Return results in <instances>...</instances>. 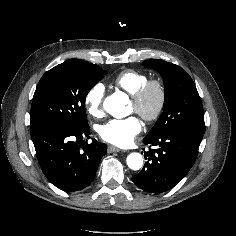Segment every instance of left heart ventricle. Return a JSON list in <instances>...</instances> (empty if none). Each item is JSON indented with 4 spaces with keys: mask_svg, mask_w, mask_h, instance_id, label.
Returning a JSON list of instances; mask_svg holds the SVG:
<instances>
[{
    "mask_svg": "<svg viewBox=\"0 0 236 236\" xmlns=\"http://www.w3.org/2000/svg\"><path fill=\"white\" fill-rule=\"evenodd\" d=\"M156 101H157L156 94L155 93L151 94L148 101H147V108L150 110L153 109L156 104ZM132 109L135 111V106L133 103H132Z\"/></svg>",
    "mask_w": 236,
    "mask_h": 236,
    "instance_id": "1",
    "label": "left heart ventricle"
}]
</instances>
